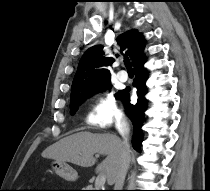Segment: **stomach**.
<instances>
[{"instance_id": "obj_1", "label": "stomach", "mask_w": 210, "mask_h": 191, "mask_svg": "<svg viewBox=\"0 0 210 191\" xmlns=\"http://www.w3.org/2000/svg\"><path fill=\"white\" fill-rule=\"evenodd\" d=\"M51 165L55 173L63 179L67 181H76L78 179L77 171L66 162L54 160Z\"/></svg>"}]
</instances>
